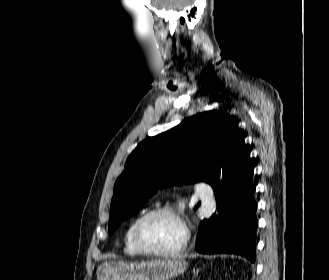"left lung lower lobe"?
Here are the masks:
<instances>
[{
    "mask_svg": "<svg viewBox=\"0 0 329 280\" xmlns=\"http://www.w3.org/2000/svg\"><path fill=\"white\" fill-rule=\"evenodd\" d=\"M250 151V148L243 147L240 168L225 186L214 191L217 210L201 222L196 239L197 252L231 253L255 261L257 204Z\"/></svg>",
    "mask_w": 329,
    "mask_h": 280,
    "instance_id": "left-lung-lower-lobe-1",
    "label": "left lung lower lobe"
}]
</instances>
